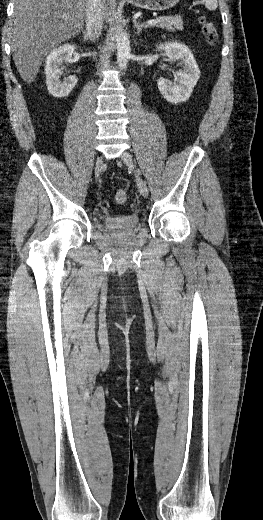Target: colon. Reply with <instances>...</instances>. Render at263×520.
<instances>
[{"label":"colon","mask_w":263,"mask_h":520,"mask_svg":"<svg viewBox=\"0 0 263 520\" xmlns=\"http://www.w3.org/2000/svg\"><path fill=\"white\" fill-rule=\"evenodd\" d=\"M199 24L207 44L214 46L218 42V32L215 25L204 16L199 18ZM115 200L118 204H124L127 200L126 191L124 189L118 190L115 195Z\"/></svg>","instance_id":"colon-1"}]
</instances>
